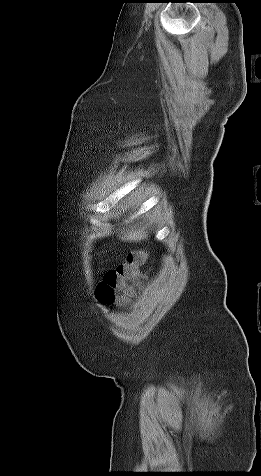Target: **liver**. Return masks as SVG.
<instances>
[{"instance_id":"obj_1","label":"liver","mask_w":261,"mask_h":476,"mask_svg":"<svg viewBox=\"0 0 261 476\" xmlns=\"http://www.w3.org/2000/svg\"><path fill=\"white\" fill-rule=\"evenodd\" d=\"M140 224V225H139ZM148 223L143 220V222H138L133 225H129L128 227H123L120 229L122 234V240L124 241H141L148 237V232L146 231Z\"/></svg>"}]
</instances>
